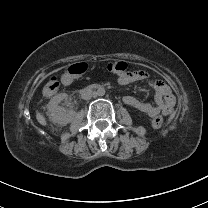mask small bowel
Instances as JSON below:
<instances>
[{"label":"small bowel","mask_w":208,"mask_h":208,"mask_svg":"<svg viewBox=\"0 0 208 208\" xmlns=\"http://www.w3.org/2000/svg\"><path fill=\"white\" fill-rule=\"evenodd\" d=\"M148 78V73L144 70H137L129 72V74L119 79V82L123 85L141 81ZM151 87L155 92V104L140 101L134 96H125L124 102L133 108L145 113L149 117H155L157 115L168 116L171 114L174 105L175 97L172 94L171 89L162 81H154L151 83Z\"/></svg>","instance_id":"obj_1"}]
</instances>
